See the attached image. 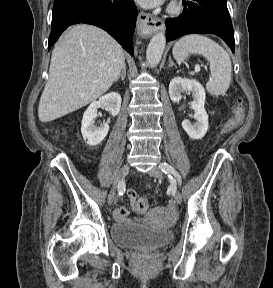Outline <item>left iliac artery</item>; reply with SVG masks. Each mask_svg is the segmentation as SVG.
<instances>
[{
  "label": "left iliac artery",
  "instance_id": "obj_1",
  "mask_svg": "<svg viewBox=\"0 0 273 288\" xmlns=\"http://www.w3.org/2000/svg\"><path fill=\"white\" fill-rule=\"evenodd\" d=\"M159 167L165 174L168 175V177L172 180V182L177 180L179 185L182 184V179H181L180 174L172 166L164 162V163H161ZM172 175L175 177L176 180L172 177Z\"/></svg>",
  "mask_w": 273,
  "mask_h": 288
}]
</instances>
